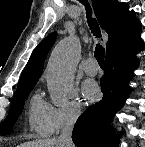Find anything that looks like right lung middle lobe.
I'll return each mask as SVG.
<instances>
[{
  "mask_svg": "<svg viewBox=\"0 0 145 147\" xmlns=\"http://www.w3.org/2000/svg\"><path fill=\"white\" fill-rule=\"evenodd\" d=\"M34 86L17 89L12 99L11 108L4 123L1 126L0 132L2 135H7L11 132L14 123L23 110L25 99L29 95Z\"/></svg>",
  "mask_w": 145,
  "mask_h": 147,
  "instance_id": "obj_1",
  "label": "right lung middle lobe"
}]
</instances>
